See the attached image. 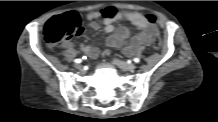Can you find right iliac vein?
<instances>
[{
  "label": "right iliac vein",
  "instance_id": "right-iliac-vein-1",
  "mask_svg": "<svg viewBox=\"0 0 218 122\" xmlns=\"http://www.w3.org/2000/svg\"><path fill=\"white\" fill-rule=\"evenodd\" d=\"M75 68L80 70V69H82V65L81 64H75Z\"/></svg>",
  "mask_w": 218,
  "mask_h": 122
}]
</instances>
